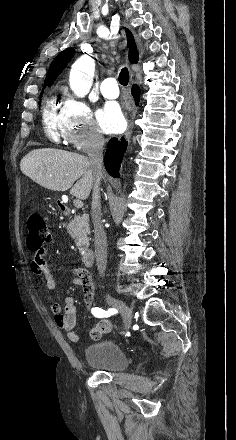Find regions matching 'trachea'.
<instances>
[{
	"mask_svg": "<svg viewBox=\"0 0 236 440\" xmlns=\"http://www.w3.org/2000/svg\"><path fill=\"white\" fill-rule=\"evenodd\" d=\"M129 82V71L126 67L122 68L119 74V83L123 86H127Z\"/></svg>",
	"mask_w": 236,
	"mask_h": 440,
	"instance_id": "3493384b",
	"label": "trachea"
}]
</instances>
